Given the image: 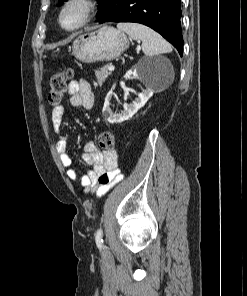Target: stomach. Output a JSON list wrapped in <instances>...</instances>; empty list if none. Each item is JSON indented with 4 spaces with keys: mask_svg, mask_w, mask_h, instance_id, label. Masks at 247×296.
I'll return each mask as SVG.
<instances>
[{
    "mask_svg": "<svg viewBox=\"0 0 247 296\" xmlns=\"http://www.w3.org/2000/svg\"><path fill=\"white\" fill-rule=\"evenodd\" d=\"M128 47L129 39L123 32L111 26H103L96 31L79 34L73 41L72 51L79 61L95 63L114 60ZM51 55L55 56V51Z\"/></svg>",
    "mask_w": 247,
    "mask_h": 296,
    "instance_id": "0dacf381",
    "label": "stomach"
}]
</instances>
